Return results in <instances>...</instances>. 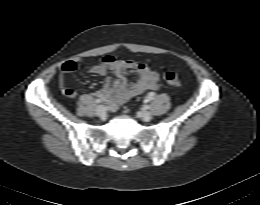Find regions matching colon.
I'll return each instance as SVG.
<instances>
[{"mask_svg":"<svg viewBox=\"0 0 260 205\" xmlns=\"http://www.w3.org/2000/svg\"><path fill=\"white\" fill-rule=\"evenodd\" d=\"M162 76L164 80L167 82V84H169L170 86L173 87L181 86V81L178 75L172 69L164 67L162 69Z\"/></svg>","mask_w":260,"mask_h":205,"instance_id":"colon-1","label":"colon"}]
</instances>
